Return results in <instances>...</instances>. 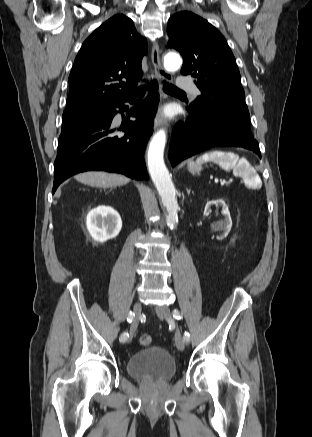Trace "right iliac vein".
I'll return each mask as SVG.
<instances>
[{
	"mask_svg": "<svg viewBox=\"0 0 312 437\" xmlns=\"http://www.w3.org/2000/svg\"><path fill=\"white\" fill-rule=\"evenodd\" d=\"M133 312H134V320L130 329V338L132 337L134 331L136 330L137 326H138V322H139V316L141 314V303L140 302H136L133 305Z\"/></svg>",
	"mask_w": 312,
	"mask_h": 437,
	"instance_id": "right-iliac-vein-1",
	"label": "right iliac vein"
}]
</instances>
